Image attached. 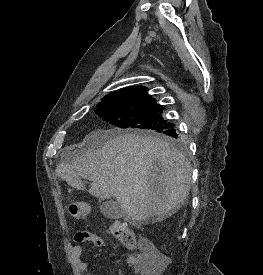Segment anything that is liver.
<instances>
[{"label": "liver", "instance_id": "1", "mask_svg": "<svg viewBox=\"0 0 263 275\" xmlns=\"http://www.w3.org/2000/svg\"><path fill=\"white\" fill-rule=\"evenodd\" d=\"M83 151L56 168V175L77 190L92 181L89 193L114 197L128 221H163L186 200L191 166L185 156L152 135L96 130L83 140Z\"/></svg>", "mask_w": 263, "mask_h": 275}]
</instances>
